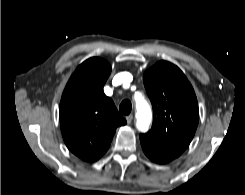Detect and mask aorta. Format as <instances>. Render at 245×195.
<instances>
[{"label":"aorta","instance_id":"aorta-1","mask_svg":"<svg viewBox=\"0 0 245 195\" xmlns=\"http://www.w3.org/2000/svg\"><path fill=\"white\" fill-rule=\"evenodd\" d=\"M136 126L141 132L148 130L152 121V111L149 103L144 98L136 100Z\"/></svg>","mask_w":245,"mask_h":195}]
</instances>
